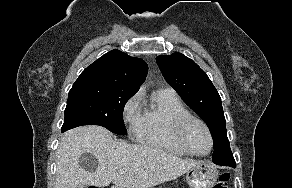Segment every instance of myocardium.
Listing matches in <instances>:
<instances>
[{"mask_svg":"<svg viewBox=\"0 0 292 188\" xmlns=\"http://www.w3.org/2000/svg\"><path fill=\"white\" fill-rule=\"evenodd\" d=\"M191 123H198L205 129L209 138V142H210L209 150L206 153H197L189 146L186 140V131ZM175 135L179 144L191 155L200 156V157L207 156L211 153L214 146L213 135L207 123L201 118H198L193 115L185 116L176 123Z\"/></svg>","mask_w":292,"mask_h":188,"instance_id":"1","label":"myocardium"}]
</instances>
